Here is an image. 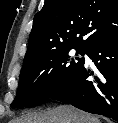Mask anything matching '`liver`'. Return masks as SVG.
Masks as SVG:
<instances>
[{"mask_svg": "<svg viewBox=\"0 0 118 123\" xmlns=\"http://www.w3.org/2000/svg\"><path fill=\"white\" fill-rule=\"evenodd\" d=\"M9 123H101L98 117L92 116L70 105H60L40 112H29L11 120Z\"/></svg>", "mask_w": 118, "mask_h": 123, "instance_id": "6515ba94", "label": "liver"}]
</instances>
